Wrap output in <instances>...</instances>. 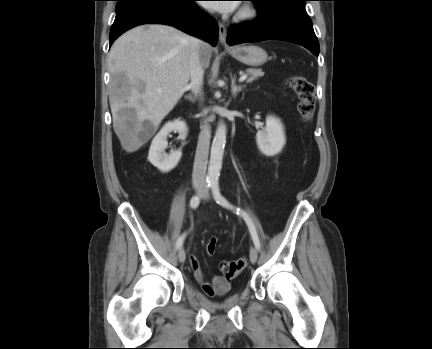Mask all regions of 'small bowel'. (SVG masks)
Segmentation results:
<instances>
[{
	"instance_id": "1",
	"label": "small bowel",
	"mask_w": 432,
	"mask_h": 349,
	"mask_svg": "<svg viewBox=\"0 0 432 349\" xmlns=\"http://www.w3.org/2000/svg\"><path fill=\"white\" fill-rule=\"evenodd\" d=\"M189 261L196 280L201 284L205 292L215 294L222 292L229 287V280L222 276H215L211 282L205 281L201 266L196 256L191 255Z\"/></svg>"
}]
</instances>
